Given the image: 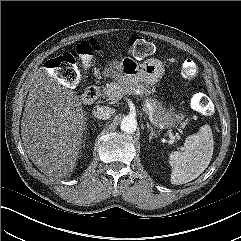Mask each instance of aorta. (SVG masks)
<instances>
[{
	"instance_id": "aorta-1",
	"label": "aorta",
	"mask_w": 241,
	"mask_h": 241,
	"mask_svg": "<svg viewBox=\"0 0 241 241\" xmlns=\"http://www.w3.org/2000/svg\"><path fill=\"white\" fill-rule=\"evenodd\" d=\"M120 128L128 134H132L137 129V121L134 117L126 116L122 119Z\"/></svg>"
}]
</instances>
